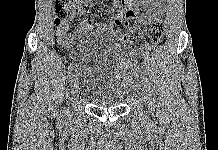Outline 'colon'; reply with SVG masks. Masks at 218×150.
<instances>
[{"mask_svg": "<svg viewBox=\"0 0 218 150\" xmlns=\"http://www.w3.org/2000/svg\"><path fill=\"white\" fill-rule=\"evenodd\" d=\"M75 0H55L54 1V16L55 24L58 26L61 23V20L67 18L71 13L72 6ZM123 21V16L121 14L116 15L110 22L111 27L120 25ZM165 31V20L162 16L157 17L152 23L151 26L144 38L143 41L140 40L136 30H125L120 35L119 39L127 41L131 44H139L145 49H152L155 47L160 39L162 38Z\"/></svg>", "mask_w": 218, "mask_h": 150, "instance_id": "colon-1", "label": "colon"}]
</instances>
